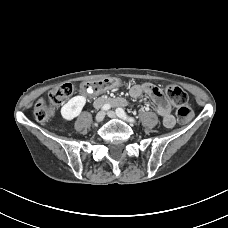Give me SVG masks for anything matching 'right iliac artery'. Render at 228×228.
I'll list each match as a JSON object with an SVG mask.
<instances>
[{
  "label": "right iliac artery",
  "instance_id": "1",
  "mask_svg": "<svg viewBox=\"0 0 228 228\" xmlns=\"http://www.w3.org/2000/svg\"><path fill=\"white\" fill-rule=\"evenodd\" d=\"M110 107H111L110 104H105V105L102 106V110H105V111H106V110H109Z\"/></svg>",
  "mask_w": 228,
  "mask_h": 228
}]
</instances>
